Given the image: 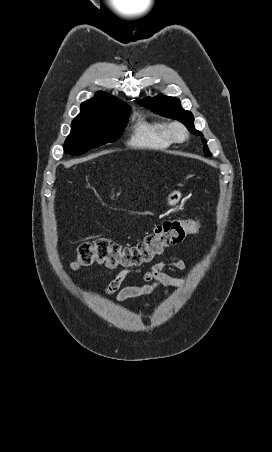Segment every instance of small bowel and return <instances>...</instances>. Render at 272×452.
Returning <instances> with one entry per match:
<instances>
[{
  "instance_id": "small-bowel-1",
  "label": "small bowel",
  "mask_w": 272,
  "mask_h": 452,
  "mask_svg": "<svg viewBox=\"0 0 272 452\" xmlns=\"http://www.w3.org/2000/svg\"><path fill=\"white\" fill-rule=\"evenodd\" d=\"M189 263L185 260H175L169 262L156 263L148 271H131L128 269L120 271L106 288L107 294H115L116 301H125L128 299L146 296L151 294L159 285L183 286L186 280L171 276L165 272L166 269H175L184 271ZM133 272L140 273L143 276L144 283L140 285H128L122 287V283Z\"/></svg>"
}]
</instances>
